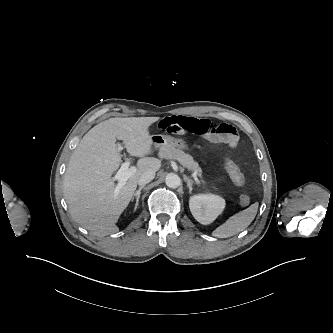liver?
<instances>
[{
  "instance_id": "obj_1",
  "label": "liver",
  "mask_w": 333,
  "mask_h": 333,
  "mask_svg": "<svg viewBox=\"0 0 333 333\" xmlns=\"http://www.w3.org/2000/svg\"><path fill=\"white\" fill-rule=\"evenodd\" d=\"M159 117L111 118L90 129L69 160L63 193L74 221L96 236L118 231L116 223L129 204L140 176L157 172L161 161L148 157L153 139L149 127ZM116 139L123 140L127 152L140 159L136 172L116 191L112 174L119 168L122 155Z\"/></svg>"
}]
</instances>
